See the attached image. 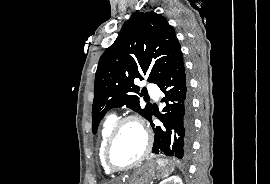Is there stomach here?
I'll return each mask as SVG.
<instances>
[{"label": "stomach", "mask_w": 270, "mask_h": 184, "mask_svg": "<svg viewBox=\"0 0 270 184\" xmlns=\"http://www.w3.org/2000/svg\"><path fill=\"white\" fill-rule=\"evenodd\" d=\"M174 170V164L167 160H149L132 174L126 176L119 184H149L153 178L169 175Z\"/></svg>", "instance_id": "obj_1"}]
</instances>
